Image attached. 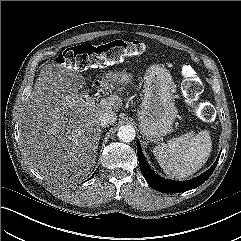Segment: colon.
I'll list each match as a JSON object with an SVG mask.
<instances>
[{
  "mask_svg": "<svg viewBox=\"0 0 241 241\" xmlns=\"http://www.w3.org/2000/svg\"><path fill=\"white\" fill-rule=\"evenodd\" d=\"M145 49L144 43L132 39H119L97 46L82 44L65 49L58 55L56 62L68 70H86L113 64L125 56L142 54ZM183 78L182 91L186 101L200 118L211 120L213 108L209 104L199 102L203 86L191 66H184Z\"/></svg>",
  "mask_w": 241,
  "mask_h": 241,
  "instance_id": "1",
  "label": "colon"
}]
</instances>
